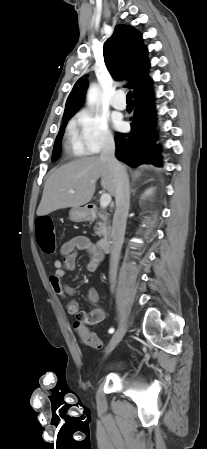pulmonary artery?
I'll return each mask as SVG.
<instances>
[{
	"label": "pulmonary artery",
	"instance_id": "obj_1",
	"mask_svg": "<svg viewBox=\"0 0 207 449\" xmlns=\"http://www.w3.org/2000/svg\"><path fill=\"white\" fill-rule=\"evenodd\" d=\"M111 105L119 110H123L126 108V100L122 91L115 92L111 99Z\"/></svg>",
	"mask_w": 207,
	"mask_h": 449
}]
</instances>
